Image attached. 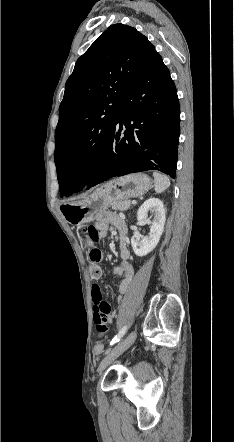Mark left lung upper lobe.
Wrapping results in <instances>:
<instances>
[{"label": "left lung upper lobe", "instance_id": "1", "mask_svg": "<svg viewBox=\"0 0 234 442\" xmlns=\"http://www.w3.org/2000/svg\"><path fill=\"white\" fill-rule=\"evenodd\" d=\"M154 52L144 35L118 23L77 60L65 85L55 132L61 197L80 191L98 167L123 97Z\"/></svg>", "mask_w": 234, "mask_h": 442}]
</instances>
